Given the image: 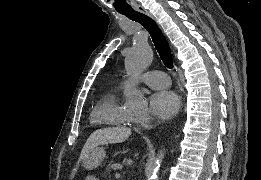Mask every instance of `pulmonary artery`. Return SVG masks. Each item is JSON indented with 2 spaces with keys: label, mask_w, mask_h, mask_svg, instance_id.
<instances>
[{
  "label": "pulmonary artery",
  "mask_w": 261,
  "mask_h": 180,
  "mask_svg": "<svg viewBox=\"0 0 261 180\" xmlns=\"http://www.w3.org/2000/svg\"><path fill=\"white\" fill-rule=\"evenodd\" d=\"M136 81H142L144 89L149 88H170L169 77L161 71H148L136 78Z\"/></svg>",
  "instance_id": "pulmonary-artery-1"
}]
</instances>
